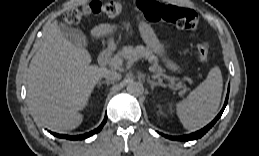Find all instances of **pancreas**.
<instances>
[{
  "mask_svg": "<svg viewBox=\"0 0 259 156\" xmlns=\"http://www.w3.org/2000/svg\"><path fill=\"white\" fill-rule=\"evenodd\" d=\"M146 58L150 62L154 61V72L157 74V76H162L163 75V70L157 65V58L152 54V51L148 48H145L142 45H139L137 47H132V46H125L122 48L121 51H119L114 57L110 59V65L112 60H138ZM113 66V65H111ZM114 67V66H113ZM118 68V67H116Z\"/></svg>",
  "mask_w": 259,
  "mask_h": 156,
  "instance_id": "obj_1",
  "label": "pancreas"
}]
</instances>
